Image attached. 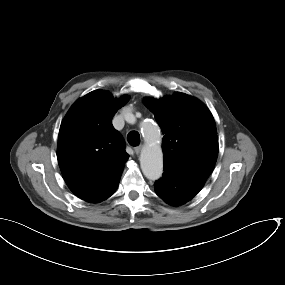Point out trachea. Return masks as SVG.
<instances>
[{"label":"trachea","mask_w":285,"mask_h":285,"mask_svg":"<svg viewBox=\"0 0 285 285\" xmlns=\"http://www.w3.org/2000/svg\"><path fill=\"white\" fill-rule=\"evenodd\" d=\"M127 141L131 146H137L140 143V135L137 131H131L127 135Z\"/></svg>","instance_id":"trachea-1"}]
</instances>
